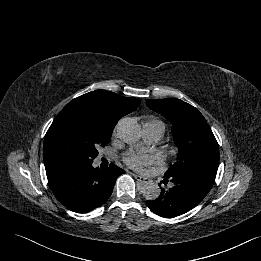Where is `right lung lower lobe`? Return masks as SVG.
Wrapping results in <instances>:
<instances>
[{
    "label": "right lung lower lobe",
    "mask_w": 261,
    "mask_h": 261,
    "mask_svg": "<svg viewBox=\"0 0 261 261\" xmlns=\"http://www.w3.org/2000/svg\"><path fill=\"white\" fill-rule=\"evenodd\" d=\"M125 171L114 164L107 170L92 162L67 164L46 169L49 186L65 207L86 213L102 205L111 195L115 181Z\"/></svg>",
    "instance_id": "right-lung-lower-lobe-1"
}]
</instances>
